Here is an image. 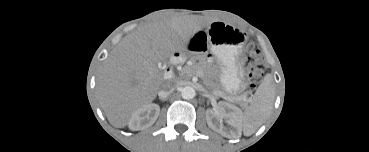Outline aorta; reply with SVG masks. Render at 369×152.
I'll list each match as a JSON object with an SVG mask.
<instances>
[{"label": "aorta", "mask_w": 369, "mask_h": 152, "mask_svg": "<svg viewBox=\"0 0 369 152\" xmlns=\"http://www.w3.org/2000/svg\"><path fill=\"white\" fill-rule=\"evenodd\" d=\"M181 96L183 99L189 100L195 97V90L190 86H186L181 90Z\"/></svg>", "instance_id": "obj_1"}]
</instances>
